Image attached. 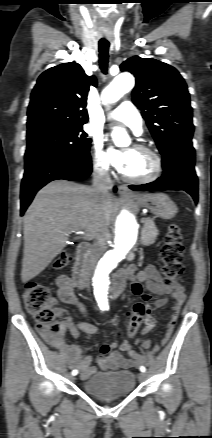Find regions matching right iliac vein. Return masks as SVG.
I'll return each instance as SVG.
<instances>
[{"label": "right iliac vein", "mask_w": 212, "mask_h": 438, "mask_svg": "<svg viewBox=\"0 0 212 438\" xmlns=\"http://www.w3.org/2000/svg\"><path fill=\"white\" fill-rule=\"evenodd\" d=\"M70 379L73 381V380H75V377H73V376H70Z\"/></svg>", "instance_id": "1"}]
</instances>
